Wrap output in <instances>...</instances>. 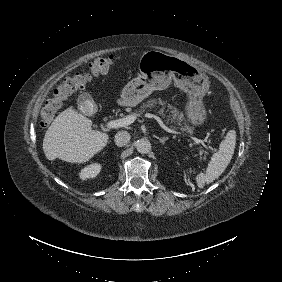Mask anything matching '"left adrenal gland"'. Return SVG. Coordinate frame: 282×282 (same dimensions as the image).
<instances>
[{
	"label": "left adrenal gland",
	"instance_id": "obj_1",
	"mask_svg": "<svg viewBox=\"0 0 282 282\" xmlns=\"http://www.w3.org/2000/svg\"><path fill=\"white\" fill-rule=\"evenodd\" d=\"M168 139V136H163V137H161L159 140H160V142H164L165 140H167Z\"/></svg>",
	"mask_w": 282,
	"mask_h": 282
}]
</instances>
